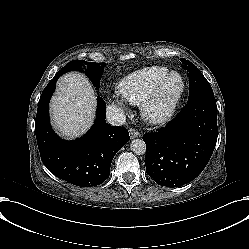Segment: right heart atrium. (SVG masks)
Instances as JSON below:
<instances>
[{"label":"right heart atrium","mask_w":249,"mask_h":249,"mask_svg":"<svg viewBox=\"0 0 249 249\" xmlns=\"http://www.w3.org/2000/svg\"><path fill=\"white\" fill-rule=\"evenodd\" d=\"M113 104L115 105V107H116L117 109H121V108L123 107V103H122L121 100H115V101L113 102Z\"/></svg>","instance_id":"1"}]
</instances>
